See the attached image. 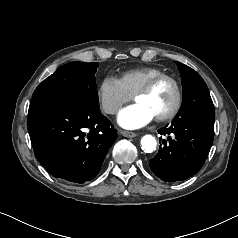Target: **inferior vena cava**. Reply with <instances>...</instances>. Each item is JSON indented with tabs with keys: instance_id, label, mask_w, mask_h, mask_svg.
I'll use <instances>...</instances> for the list:
<instances>
[{
	"instance_id": "602c4592",
	"label": "inferior vena cava",
	"mask_w": 238,
	"mask_h": 238,
	"mask_svg": "<svg viewBox=\"0 0 238 238\" xmlns=\"http://www.w3.org/2000/svg\"><path fill=\"white\" fill-rule=\"evenodd\" d=\"M117 111V108L116 107H113L109 110V112H116Z\"/></svg>"
}]
</instances>
